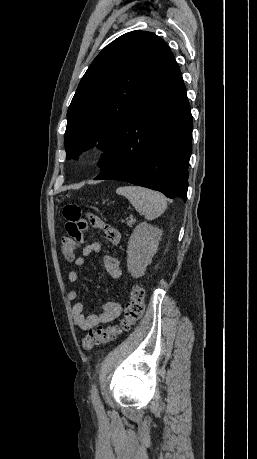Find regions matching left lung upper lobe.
Segmentation results:
<instances>
[{"label":"left lung upper lobe","mask_w":257,"mask_h":459,"mask_svg":"<svg viewBox=\"0 0 257 459\" xmlns=\"http://www.w3.org/2000/svg\"><path fill=\"white\" fill-rule=\"evenodd\" d=\"M172 54L151 32L132 31L115 39L93 60L67 112L66 159L95 145L110 159L121 124L156 72Z\"/></svg>","instance_id":"5c2ea615"}]
</instances>
